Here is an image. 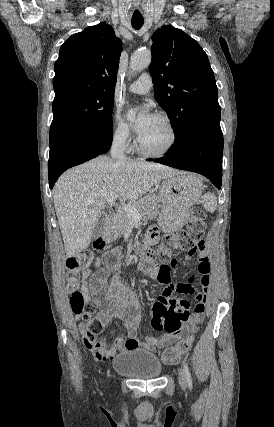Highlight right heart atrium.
<instances>
[{
	"label": "right heart atrium",
	"mask_w": 274,
	"mask_h": 427,
	"mask_svg": "<svg viewBox=\"0 0 274 427\" xmlns=\"http://www.w3.org/2000/svg\"><path fill=\"white\" fill-rule=\"evenodd\" d=\"M111 138L123 150H129L132 147L131 133L117 112L112 116Z\"/></svg>",
	"instance_id": "d8ad5b80"
}]
</instances>
